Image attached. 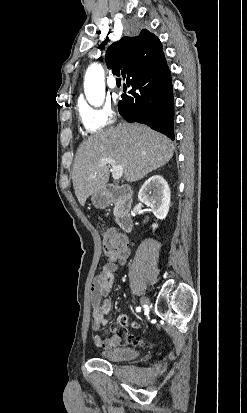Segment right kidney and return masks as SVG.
I'll use <instances>...</instances> for the list:
<instances>
[{
	"label": "right kidney",
	"instance_id": "obj_1",
	"mask_svg": "<svg viewBox=\"0 0 247 413\" xmlns=\"http://www.w3.org/2000/svg\"><path fill=\"white\" fill-rule=\"evenodd\" d=\"M170 188L161 174H153L142 184L138 198L150 207L157 219H165L170 207ZM156 229L158 225H152Z\"/></svg>",
	"mask_w": 247,
	"mask_h": 413
}]
</instances>
